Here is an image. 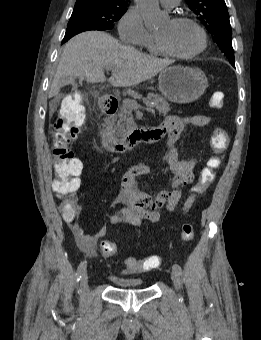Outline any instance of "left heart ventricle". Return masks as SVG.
I'll use <instances>...</instances> for the list:
<instances>
[{
    "label": "left heart ventricle",
    "instance_id": "1",
    "mask_svg": "<svg viewBox=\"0 0 261 340\" xmlns=\"http://www.w3.org/2000/svg\"><path fill=\"white\" fill-rule=\"evenodd\" d=\"M156 35L163 39L175 52L187 54L199 48L201 36L190 23H174L168 21Z\"/></svg>",
    "mask_w": 261,
    "mask_h": 340
}]
</instances>
